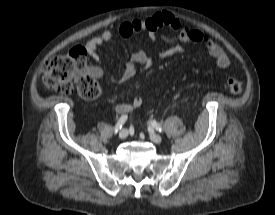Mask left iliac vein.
<instances>
[{
    "mask_svg": "<svg viewBox=\"0 0 275 215\" xmlns=\"http://www.w3.org/2000/svg\"><path fill=\"white\" fill-rule=\"evenodd\" d=\"M149 138L152 142L160 144L162 142V137L155 133H150Z\"/></svg>",
    "mask_w": 275,
    "mask_h": 215,
    "instance_id": "4c4485c4",
    "label": "left iliac vein"
}]
</instances>
